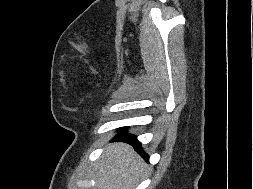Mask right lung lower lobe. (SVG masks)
Here are the masks:
<instances>
[{
	"label": "right lung lower lobe",
	"mask_w": 253,
	"mask_h": 189,
	"mask_svg": "<svg viewBox=\"0 0 253 189\" xmlns=\"http://www.w3.org/2000/svg\"><path fill=\"white\" fill-rule=\"evenodd\" d=\"M119 131H125V129L120 128ZM115 140L124 141V142L132 144L134 146L135 150L138 151L139 153H141V155L143 156L144 159H146L147 161L149 160V156L143 152V150L141 148V144L139 143V141L136 139L135 136L128 135V134H121V135L117 136L115 138Z\"/></svg>",
	"instance_id": "right-lung-lower-lobe-1"
}]
</instances>
